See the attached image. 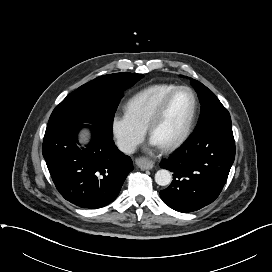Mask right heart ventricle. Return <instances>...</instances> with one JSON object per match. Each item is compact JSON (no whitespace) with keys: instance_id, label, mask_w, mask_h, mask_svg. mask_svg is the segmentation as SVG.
<instances>
[{"instance_id":"obj_1","label":"right heart ventricle","mask_w":272,"mask_h":272,"mask_svg":"<svg viewBox=\"0 0 272 272\" xmlns=\"http://www.w3.org/2000/svg\"><path fill=\"white\" fill-rule=\"evenodd\" d=\"M177 85L159 83L150 85L134 94L126 103V113L140 126L147 128L148 122L162 99Z\"/></svg>"}]
</instances>
